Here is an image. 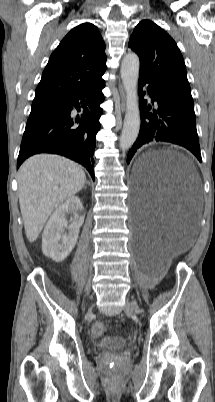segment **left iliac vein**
I'll list each match as a JSON object with an SVG mask.
<instances>
[{"label": "left iliac vein", "mask_w": 215, "mask_h": 402, "mask_svg": "<svg viewBox=\"0 0 215 402\" xmlns=\"http://www.w3.org/2000/svg\"><path fill=\"white\" fill-rule=\"evenodd\" d=\"M125 312L127 313H139L140 312V308L138 306V304L134 301H127L126 305H125Z\"/></svg>", "instance_id": "1"}]
</instances>
